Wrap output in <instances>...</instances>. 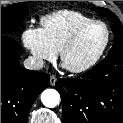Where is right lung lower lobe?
Returning a JSON list of instances; mask_svg holds the SVG:
<instances>
[{"label":"right lung lower lobe","instance_id":"98d812e1","mask_svg":"<svg viewBox=\"0 0 123 123\" xmlns=\"http://www.w3.org/2000/svg\"><path fill=\"white\" fill-rule=\"evenodd\" d=\"M21 46L1 34V123H27L30 108L50 85L49 75L20 67Z\"/></svg>","mask_w":123,"mask_h":123}]
</instances>
